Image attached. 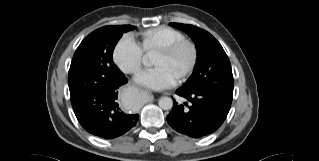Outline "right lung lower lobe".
Returning a JSON list of instances; mask_svg holds the SVG:
<instances>
[{"mask_svg":"<svg viewBox=\"0 0 319 161\" xmlns=\"http://www.w3.org/2000/svg\"><path fill=\"white\" fill-rule=\"evenodd\" d=\"M127 81L123 74L111 85L94 88L72 102L75 115L86 131L105 139H113L136 125L139 115L125 113L117 101L118 88Z\"/></svg>","mask_w":319,"mask_h":161,"instance_id":"1","label":"right lung lower lobe"}]
</instances>
